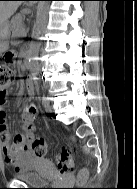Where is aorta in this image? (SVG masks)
Segmentation results:
<instances>
[{"label": "aorta", "instance_id": "aorta-1", "mask_svg": "<svg viewBox=\"0 0 137 189\" xmlns=\"http://www.w3.org/2000/svg\"><path fill=\"white\" fill-rule=\"evenodd\" d=\"M49 1H41L38 4L37 8V16L36 23L34 26V35L30 36V49L28 51L29 57L32 59H36L39 55V38L43 36V32L45 31L47 21H48V12H49ZM32 75L35 76V79H40V73L37 71L38 64L36 62H32ZM39 81V80H37Z\"/></svg>", "mask_w": 137, "mask_h": 189}]
</instances>
